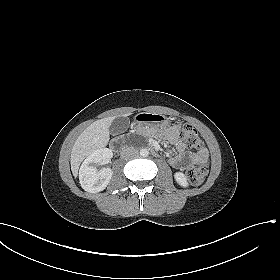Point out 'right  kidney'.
Here are the masks:
<instances>
[{"label":"right kidney","instance_id":"obj_1","mask_svg":"<svg viewBox=\"0 0 280 280\" xmlns=\"http://www.w3.org/2000/svg\"><path fill=\"white\" fill-rule=\"evenodd\" d=\"M113 157L108 148L94 150L82 163L79 170V181L81 187L89 193L103 191L109 184L113 171L110 168L97 170V164H106Z\"/></svg>","mask_w":280,"mask_h":280}]
</instances>
